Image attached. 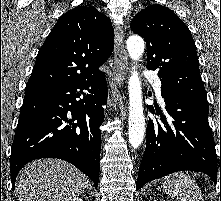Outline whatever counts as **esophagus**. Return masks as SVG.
Masks as SVG:
<instances>
[{
  "instance_id": "34e87169",
  "label": "esophagus",
  "mask_w": 221,
  "mask_h": 201,
  "mask_svg": "<svg viewBox=\"0 0 221 201\" xmlns=\"http://www.w3.org/2000/svg\"><path fill=\"white\" fill-rule=\"evenodd\" d=\"M128 70V57L124 48V32L122 26L115 27V61L113 67V80L118 87L125 81ZM114 105L118 104V97L113 99ZM111 105V104H110Z\"/></svg>"
}]
</instances>
